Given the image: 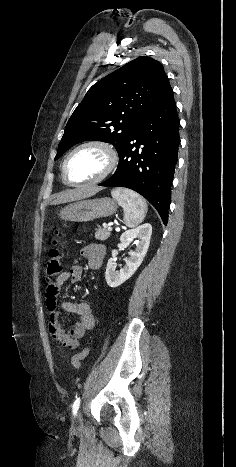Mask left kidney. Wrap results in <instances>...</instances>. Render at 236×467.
Here are the masks:
<instances>
[{
	"label": "left kidney",
	"mask_w": 236,
	"mask_h": 467,
	"mask_svg": "<svg viewBox=\"0 0 236 467\" xmlns=\"http://www.w3.org/2000/svg\"><path fill=\"white\" fill-rule=\"evenodd\" d=\"M151 234L152 226L146 223L137 228L127 230L121 235L120 241L123 246H128L132 240L138 239L136 249L129 252V257L125 259L126 265L120 271H115L116 263L114 257L108 260L105 272L108 286L112 288L118 287L136 272L149 248Z\"/></svg>",
	"instance_id": "5707ae66"
}]
</instances>
